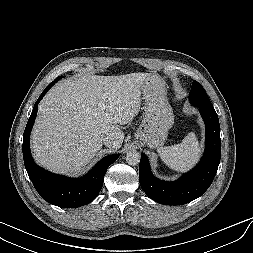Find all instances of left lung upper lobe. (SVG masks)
<instances>
[{
	"label": "left lung upper lobe",
	"instance_id": "left-lung-upper-lobe-1",
	"mask_svg": "<svg viewBox=\"0 0 253 253\" xmlns=\"http://www.w3.org/2000/svg\"><path fill=\"white\" fill-rule=\"evenodd\" d=\"M190 102L198 107L214 108L201 84L194 81L189 93Z\"/></svg>",
	"mask_w": 253,
	"mask_h": 253
}]
</instances>
